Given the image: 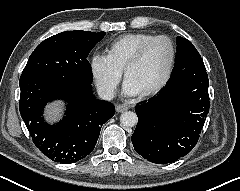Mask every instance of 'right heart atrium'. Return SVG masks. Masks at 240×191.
I'll return each instance as SVG.
<instances>
[{
  "instance_id": "right-heart-atrium-1",
  "label": "right heart atrium",
  "mask_w": 240,
  "mask_h": 191,
  "mask_svg": "<svg viewBox=\"0 0 240 191\" xmlns=\"http://www.w3.org/2000/svg\"><path fill=\"white\" fill-rule=\"evenodd\" d=\"M90 72L99 92L112 98L120 83L122 70L114 65L108 55L94 53L90 59Z\"/></svg>"
}]
</instances>
